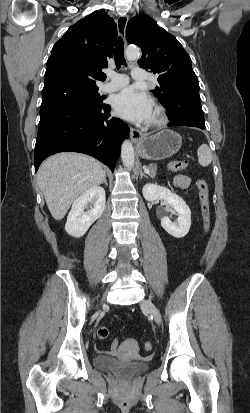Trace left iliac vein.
Returning a JSON list of instances; mask_svg holds the SVG:
<instances>
[{
    "instance_id": "1",
    "label": "left iliac vein",
    "mask_w": 250,
    "mask_h": 413,
    "mask_svg": "<svg viewBox=\"0 0 250 413\" xmlns=\"http://www.w3.org/2000/svg\"><path fill=\"white\" fill-rule=\"evenodd\" d=\"M141 307L145 309L155 320L157 324L161 323V316L158 309L150 300H143Z\"/></svg>"
}]
</instances>
